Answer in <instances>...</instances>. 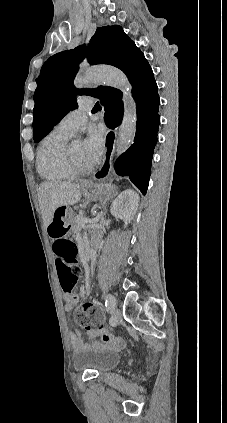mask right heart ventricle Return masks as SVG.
Returning a JSON list of instances; mask_svg holds the SVG:
<instances>
[{
  "label": "right heart ventricle",
  "mask_w": 227,
  "mask_h": 423,
  "mask_svg": "<svg viewBox=\"0 0 227 423\" xmlns=\"http://www.w3.org/2000/svg\"><path fill=\"white\" fill-rule=\"evenodd\" d=\"M72 134L56 126L39 143L36 168L48 181L68 179L70 174L64 162V150Z\"/></svg>",
  "instance_id": "obj_1"
}]
</instances>
